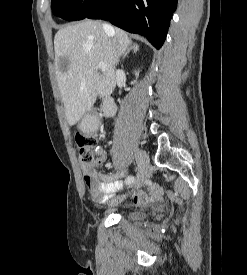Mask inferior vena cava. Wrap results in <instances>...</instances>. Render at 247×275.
Segmentation results:
<instances>
[{
  "mask_svg": "<svg viewBox=\"0 0 247 275\" xmlns=\"http://www.w3.org/2000/svg\"><path fill=\"white\" fill-rule=\"evenodd\" d=\"M103 28H104V30L105 31H111V27L109 26V25H107V24H103ZM115 42V41H114Z\"/></svg>",
  "mask_w": 247,
  "mask_h": 275,
  "instance_id": "obj_1",
  "label": "inferior vena cava"
}]
</instances>
